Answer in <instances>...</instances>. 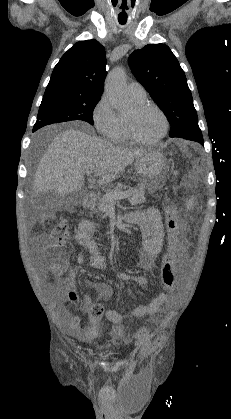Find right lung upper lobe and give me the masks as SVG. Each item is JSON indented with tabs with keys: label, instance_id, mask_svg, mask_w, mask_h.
I'll return each instance as SVG.
<instances>
[{
	"label": "right lung upper lobe",
	"instance_id": "1",
	"mask_svg": "<svg viewBox=\"0 0 231 419\" xmlns=\"http://www.w3.org/2000/svg\"><path fill=\"white\" fill-rule=\"evenodd\" d=\"M104 47L96 40L74 44L54 67L47 88H67L80 94L101 95L107 75Z\"/></svg>",
	"mask_w": 231,
	"mask_h": 419
}]
</instances>
